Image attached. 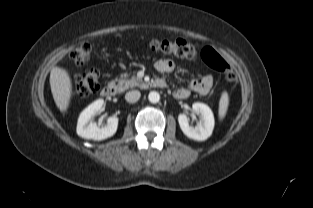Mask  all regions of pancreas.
I'll return each instance as SVG.
<instances>
[{"label": "pancreas", "mask_w": 313, "mask_h": 208, "mask_svg": "<svg viewBox=\"0 0 313 208\" xmlns=\"http://www.w3.org/2000/svg\"><path fill=\"white\" fill-rule=\"evenodd\" d=\"M142 84V80L133 76L128 79V74L121 75L120 79L118 80V86L121 91H124L128 88H133L136 86H140Z\"/></svg>", "instance_id": "obj_1"}]
</instances>
